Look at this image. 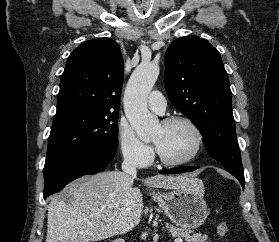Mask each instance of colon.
Listing matches in <instances>:
<instances>
[{
    "mask_svg": "<svg viewBox=\"0 0 279 242\" xmlns=\"http://www.w3.org/2000/svg\"><path fill=\"white\" fill-rule=\"evenodd\" d=\"M217 233L222 237L228 236L229 233H230V229H229L228 224H226L225 222H220L217 225Z\"/></svg>",
    "mask_w": 279,
    "mask_h": 242,
    "instance_id": "5ec220e1",
    "label": "colon"
}]
</instances>
